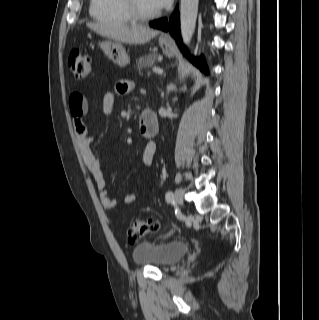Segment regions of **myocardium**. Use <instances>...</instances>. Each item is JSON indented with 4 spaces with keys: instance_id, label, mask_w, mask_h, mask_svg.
<instances>
[{
    "instance_id": "myocardium-1",
    "label": "myocardium",
    "mask_w": 319,
    "mask_h": 320,
    "mask_svg": "<svg viewBox=\"0 0 319 320\" xmlns=\"http://www.w3.org/2000/svg\"><path fill=\"white\" fill-rule=\"evenodd\" d=\"M123 3L132 20L136 22H145L148 20H152L154 18H157L161 14L159 10L151 13L142 12L138 7L137 0H123Z\"/></svg>"
}]
</instances>
